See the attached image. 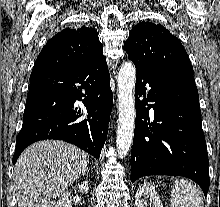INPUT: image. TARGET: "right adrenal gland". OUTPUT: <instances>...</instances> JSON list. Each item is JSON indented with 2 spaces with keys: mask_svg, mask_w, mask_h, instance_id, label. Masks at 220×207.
Segmentation results:
<instances>
[{
  "mask_svg": "<svg viewBox=\"0 0 220 207\" xmlns=\"http://www.w3.org/2000/svg\"><path fill=\"white\" fill-rule=\"evenodd\" d=\"M89 171H90L89 169L86 171V174H87V175H88Z\"/></svg>",
  "mask_w": 220,
  "mask_h": 207,
  "instance_id": "2a0ac1e0",
  "label": "right adrenal gland"
}]
</instances>
